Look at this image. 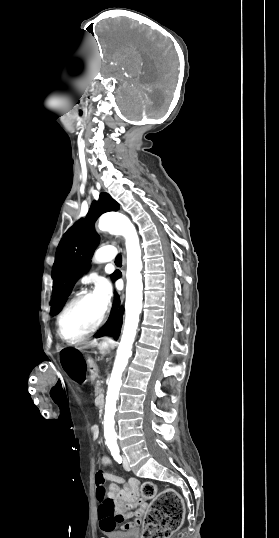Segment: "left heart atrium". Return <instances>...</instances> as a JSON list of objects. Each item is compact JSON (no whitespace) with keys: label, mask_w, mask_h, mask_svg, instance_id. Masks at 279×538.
<instances>
[{"label":"left heart atrium","mask_w":279,"mask_h":538,"mask_svg":"<svg viewBox=\"0 0 279 538\" xmlns=\"http://www.w3.org/2000/svg\"><path fill=\"white\" fill-rule=\"evenodd\" d=\"M95 295L98 297L103 309L108 307L112 297V285L106 278H99L95 286Z\"/></svg>","instance_id":"obj_1"}]
</instances>
